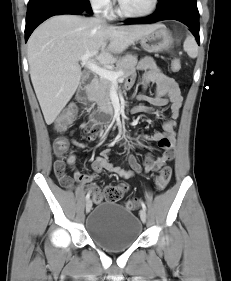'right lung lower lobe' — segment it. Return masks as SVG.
<instances>
[{"instance_id": "obj_1", "label": "right lung lower lobe", "mask_w": 231, "mask_h": 281, "mask_svg": "<svg viewBox=\"0 0 231 281\" xmlns=\"http://www.w3.org/2000/svg\"><path fill=\"white\" fill-rule=\"evenodd\" d=\"M91 13L89 0H29L25 41L27 42L34 29L47 18L59 14Z\"/></svg>"}]
</instances>
